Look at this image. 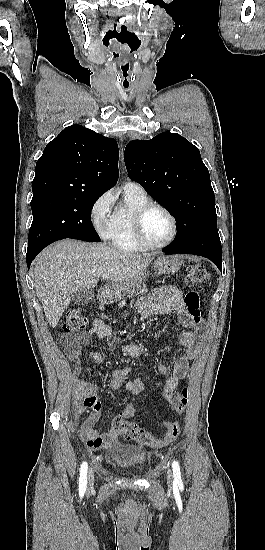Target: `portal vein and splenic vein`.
Returning <instances> with one entry per match:
<instances>
[{"label":"portal vein and splenic vein","instance_id":"obj_1","mask_svg":"<svg viewBox=\"0 0 265 550\" xmlns=\"http://www.w3.org/2000/svg\"><path fill=\"white\" fill-rule=\"evenodd\" d=\"M107 277H108V276H107L106 273L102 275V278H103V279H106Z\"/></svg>","mask_w":265,"mask_h":550}]
</instances>
